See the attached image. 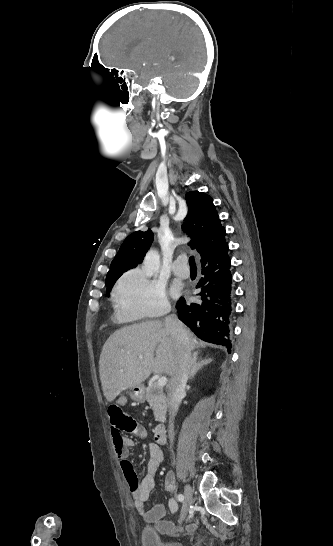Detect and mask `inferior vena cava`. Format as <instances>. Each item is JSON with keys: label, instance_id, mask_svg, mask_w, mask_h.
Segmentation results:
<instances>
[{"label": "inferior vena cava", "instance_id": "602c4592", "mask_svg": "<svg viewBox=\"0 0 333 546\" xmlns=\"http://www.w3.org/2000/svg\"><path fill=\"white\" fill-rule=\"evenodd\" d=\"M169 312L170 308H166L164 311L166 315L165 330L175 340L177 347V365L168 385L167 397L170 416L168 434L170 444L173 445L175 437L173 419L178 412L181 400L185 394L186 382L192 368V357L187 330L176 316H167Z\"/></svg>", "mask_w": 333, "mask_h": 546}]
</instances>
